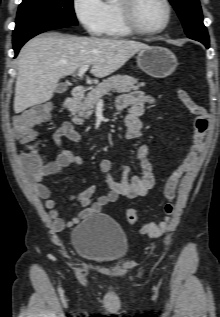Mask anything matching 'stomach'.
Here are the masks:
<instances>
[{"mask_svg": "<svg viewBox=\"0 0 220 317\" xmlns=\"http://www.w3.org/2000/svg\"><path fill=\"white\" fill-rule=\"evenodd\" d=\"M137 64L146 74L155 78H165L171 75L177 65V58L165 47L148 46L139 51Z\"/></svg>", "mask_w": 220, "mask_h": 317, "instance_id": "obj_1", "label": "stomach"}]
</instances>
